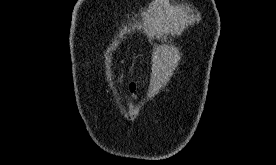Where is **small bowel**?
Masks as SVG:
<instances>
[{
	"instance_id": "obj_1",
	"label": "small bowel",
	"mask_w": 276,
	"mask_h": 165,
	"mask_svg": "<svg viewBox=\"0 0 276 165\" xmlns=\"http://www.w3.org/2000/svg\"><path fill=\"white\" fill-rule=\"evenodd\" d=\"M136 89H137V86L135 83H131L129 85V93H130V96L134 99H137V94H136Z\"/></svg>"
}]
</instances>
